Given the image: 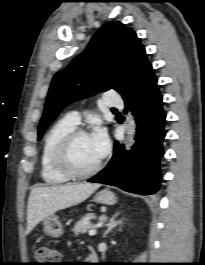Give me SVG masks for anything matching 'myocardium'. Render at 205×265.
I'll return each mask as SVG.
<instances>
[{"label": "myocardium", "mask_w": 205, "mask_h": 265, "mask_svg": "<svg viewBox=\"0 0 205 265\" xmlns=\"http://www.w3.org/2000/svg\"><path fill=\"white\" fill-rule=\"evenodd\" d=\"M89 133L84 129H77L66 134L57 146L54 154V165L59 172L71 179H85L95 175L102 167V160L87 171H77L70 162V152L74 142Z\"/></svg>", "instance_id": "obj_1"}]
</instances>
